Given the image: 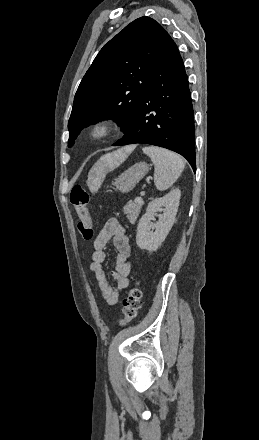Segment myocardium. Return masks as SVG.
<instances>
[{
    "instance_id": "myocardium-1",
    "label": "myocardium",
    "mask_w": 259,
    "mask_h": 440,
    "mask_svg": "<svg viewBox=\"0 0 259 440\" xmlns=\"http://www.w3.org/2000/svg\"><path fill=\"white\" fill-rule=\"evenodd\" d=\"M118 128L116 118L111 115H103L88 126L86 136L92 142H101L113 136Z\"/></svg>"
}]
</instances>
